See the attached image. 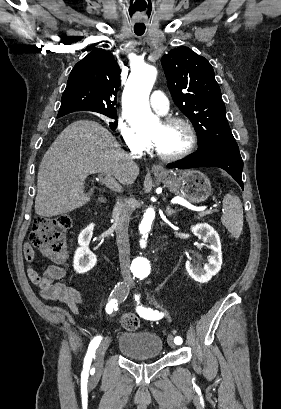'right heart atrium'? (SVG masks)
Wrapping results in <instances>:
<instances>
[{
    "instance_id": "1",
    "label": "right heart atrium",
    "mask_w": 281,
    "mask_h": 409,
    "mask_svg": "<svg viewBox=\"0 0 281 409\" xmlns=\"http://www.w3.org/2000/svg\"><path fill=\"white\" fill-rule=\"evenodd\" d=\"M141 118L142 115H122L121 111L116 122L124 146L132 151H139L145 147L144 138L138 134Z\"/></svg>"
}]
</instances>
